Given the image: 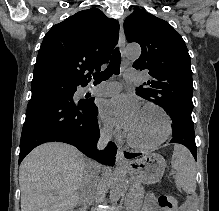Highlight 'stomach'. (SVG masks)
<instances>
[{
	"instance_id": "stomach-1",
	"label": "stomach",
	"mask_w": 219,
	"mask_h": 211,
	"mask_svg": "<svg viewBox=\"0 0 219 211\" xmlns=\"http://www.w3.org/2000/svg\"><path fill=\"white\" fill-rule=\"evenodd\" d=\"M166 165L165 159L160 154L149 153L130 161L123 169L136 175L142 183L153 184L161 180Z\"/></svg>"
}]
</instances>
